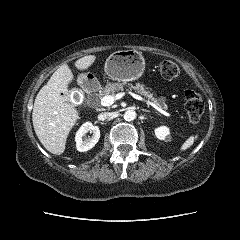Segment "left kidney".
<instances>
[{"mask_svg": "<svg viewBox=\"0 0 240 240\" xmlns=\"http://www.w3.org/2000/svg\"><path fill=\"white\" fill-rule=\"evenodd\" d=\"M155 135L160 140L170 141L169 128L166 126H161L155 129Z\"/></svg>", "mask_w": 240, "mask_h": 240, "instance_id": "obj_1", "label": "left kidney"}]
</instances>
